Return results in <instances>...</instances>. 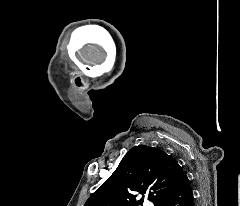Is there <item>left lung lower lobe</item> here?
Masks as SVG:
<instances>
[{
	"mask_svg": "<svg viewBox=\"0 0 240 206\" xmlns=\"http://www.w3.org/2000/svg\"><path fill=\"white\" fill-rule=\"evenodd\" d=\"M162 206H194L192 186L181 166Z\"/></svg>",
	"mask_w": 240,
	"mask_h": 206,
	"instance_id": "0a47b994",
	"label": "left lung lower lobe"
}]
</instances>
